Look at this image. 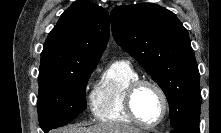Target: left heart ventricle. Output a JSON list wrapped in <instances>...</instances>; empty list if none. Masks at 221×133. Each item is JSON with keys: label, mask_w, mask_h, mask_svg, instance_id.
Masks as SVG:
<instances>
[{"label": "left heart ventricle", "mask_w": 221, "mask_h": 133, "mask_svg": "<svg viewBox=\"0 0 221 133\" xmlns=\"http://www.w3.org/2000/svg\"><path fill=\"white\" fill-rule=\"evenodd\" d=\"M134 107L137 115L146 123L158 121L162 114L161 98L151 86H143L138 90Z\"/></svg>", "instance_id": "left-heart-ventricle-1"}]
</instances>
